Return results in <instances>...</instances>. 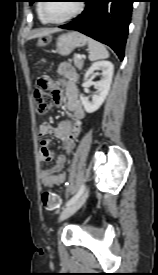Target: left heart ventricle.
Listing matches in <instances>:
<instances>
[{"instance_id":"obj_1","label":"left heart ventricle","mask_w":158,"mask_h":275,"mask_svg":"<svg viewBox=\"0 0 158 275\" xmlns=\"http://www.w3.org/2000/svg\"><path fill=\"white\" fill-rule=\"evenodd\" d=\"M77 5L78 1H49L45 13L51 19L60 20L72 14Z\"/></svg>"}]
</instances>
